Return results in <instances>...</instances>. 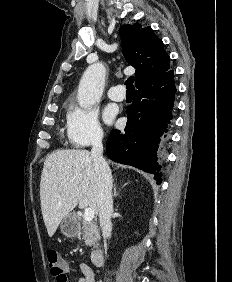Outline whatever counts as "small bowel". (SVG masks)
Instances as JSON below:
<instances>
[{
	"mask_svg": "<svg viewBox=\"0 0 232 282\" xmlns=\"http://www.w3.org/2000/svg\"><path fill=\"white\" fill-rule=\"evenodd\" d=\"M64 267L67 270L68 266L64 263ZM80 276L77 278V282H96L95 273L93 270L86 264L81 263L78 265V270ZM57 282H67V276L65 274L64 278H56Z\"/></svg>",
	"mask_w": 232,
	"mask_h": 282,
	"instance_id": "1",
	"label": "small bowel"
}]
</instances>
